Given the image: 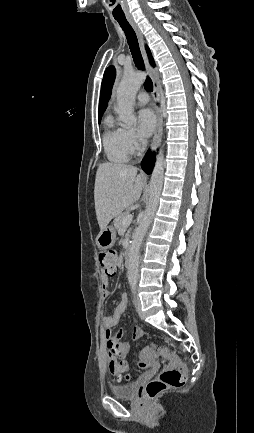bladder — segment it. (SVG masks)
I'll list each match as a JSON object with an SVG mask.
<instances>
[{
    "label": "bladder",
    "mask_w": 254,
    "mask_h": 433,
    "mask_svg": "<svg viewBox=\"0 0 254 433\" xmlns=\"http://www.w3.org/2000/svg\"><path fill=\"white\" fill-rule=\"evenodd\" d=\"M110 392L117 398L135 399L138 394V384L136 381H132L124 384L111 385Z\"/></svg>",
    "instance_id": "obj_1"
}]
</instances>
